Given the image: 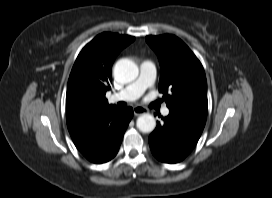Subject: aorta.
I'll list each match as a JSON object with an SVG mask.
<instances>
[{
  "label": "aorta",
  "instance_id": "obj_1",
  "mask_svg": "<svg viewBox=\"0 0 272 198\" xmlns=\"http://www.w3.org/2000/svg\"><path fill=\"white\" fill-rule=\"evenodd\" d=\"M114 76L124 83L135 80L139 74L138 66L130 59H120L114 66ZM137 128L143 133H150L156 127V121L150 114H143L136 121Z\"/></svg>",
  "mask_w": 272,
  "mask_h": 198
}]
</instances>
